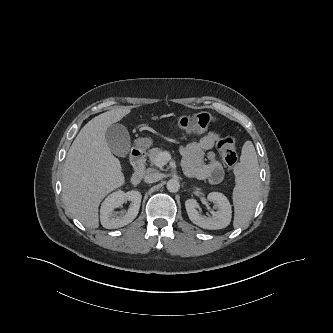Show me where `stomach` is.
<instances>
[{
    "label": "stomach",
    "instance_id": "0dacf381",
    "mask_svg": "<svg viewBox=\"0 0 333 333\" xmlns=\"http://www.w3.org/2000/svg\"><path fill=\"white\" fill-rule=\"evenodd\" d=\"M153 145V140L150 137H142L136 140L135 146L140 150H146Z\"/></svg>",
    "mask_w": 333,
    "mask_h": 333
}]
</instances>
